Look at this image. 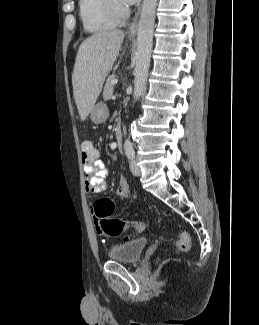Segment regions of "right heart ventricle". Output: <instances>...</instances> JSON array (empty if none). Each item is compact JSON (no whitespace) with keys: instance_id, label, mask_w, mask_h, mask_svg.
Here are the masks:
<instances>
[{"instance_id":"obj_1","label":"right heart ventricle","mask_w":259,"mask_h":325,"mask_svg":"<svg viewBox=\"0 0 259 325\" xmlns=\"http://www.w3.org/2000/svg\"><path fill=\"white\" fill-rule=\"evenodd\" d=\"M78 8L82 27L88 33L104 32L118 23L107 11L105 0H79Z\"/></svg>"}]
</instances>
